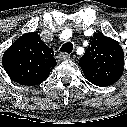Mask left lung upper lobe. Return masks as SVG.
<instances>
[{
    "label": "left lung upper lobe",
    "mask_w": 127,
    "mask_h": 127,
    "mask_svg": "<svg viewBox=\"0 0 127 127\" xmlns=\"http://www.w3.org/2000/svg\"><path fill=\"white\" fill-rule=\"evenodd\" d=\"M79 66L89 82L110 86L123 74V49L116 40L96 33L90 37V44L80 58Z\"/></svg>",
    "instance_id": "1"
}]
</instances>
